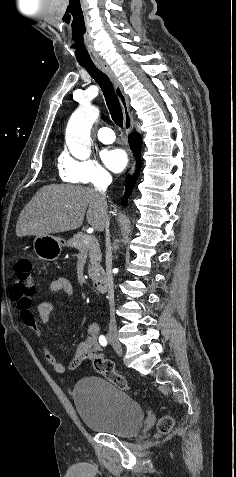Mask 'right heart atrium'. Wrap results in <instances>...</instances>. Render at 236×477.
<instances>
[{
  "instance_id": "obj_1",
  "label": "right heart atrium",
  "mask_w": 236,
  "mask_h": 477,
  "mask_svg": "<svg viewBox=\"0 0 236 477\" xmlns=\"http://www.w3.org/2000/svg\"><path fill=\"white\" fill-rule=\"evenodd\" d=\"M63 179L79 185H95L110 179V173L94 159H75L64 156L60 163Z\"/></svg>"
}]
</instances>
